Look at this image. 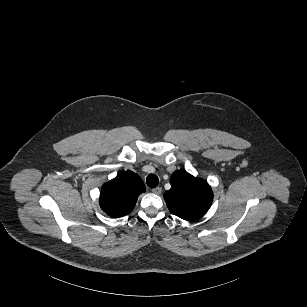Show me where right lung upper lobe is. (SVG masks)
<instances>
[{
	"label": "right lung upper lobe",
	"instance_id": "1",
	"mask_svg": "<svg viewBox=\"0 0 307 307\" xmlns=\"http://www.w3.org/2000/svg\"><path fill=\"white\" fill-rule=\"evenodd\" d=\"M143 192L145 185L141 178L132 171H123L103 185L100 206L109 216L122 217L133 210L138 196Z\"/></svg>",
	"mask_w": 307,
	"mask_h": 307
}]
</instances>
